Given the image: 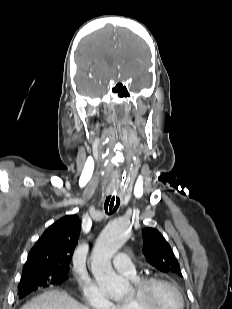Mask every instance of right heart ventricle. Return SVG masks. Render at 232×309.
Segmentation results:
<instances>
[{
	"label": "right heart ventricle",
	"mask_w": 232,
	"mask_h": 309,
	"mask_svg": "<svg viewBox=\"0 0 232 309\" xmlns=\"http://www.w3.org/2000/svg\"><path fill=\"white\" fill-rule=\"evenodd\" d=\"M131 280L136 284L140 280V277L135 276L131 278ZM114 309H134V307L129 303L127 299V300L115 303Z\"/></svg>",
	"instance_id": "1"
}]
</instances>
